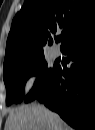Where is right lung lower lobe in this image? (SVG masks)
Segmentation results:
<instances>
[{
	"label": "right lung lower lobe",
	"instance_id": "obj_1",
	"mask_svg": "<svg viewBox=\"0 0 95 130\" xmlns=\"http://www.w3.org/2000/svg\"><path fill=\"white\" fill-rule=\"evenodd\" d=\"M62 52L68 55L70 69L56 66L32 100L37 98L72 127L90 129L95 119V31L69 43Z\"/></svg>",
	"mask_w": 95,
	"mask_h": 130
}]
</instances>
